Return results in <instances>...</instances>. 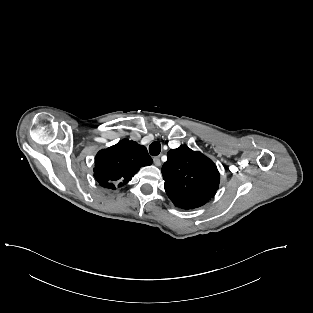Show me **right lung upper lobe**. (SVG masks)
<instances>
[{
  "label": "right lung upper lobe",
  "mask_w": 313,
  "mask_h": 313,
  "mask_svg": "<svg viewBox=\"0 0 313 313\" xmlns=\"http://www.w3.org/2000/svg\"><path fill=\"white\" fill-rule=\"evenodd\" d=\"M152 158L145 146L127 139L99 151L95 157L94 176L101 186L116 189L128 183Z\"/></svg>",
  "instance_id": "1"
}]
</instances>
